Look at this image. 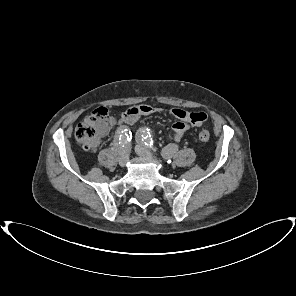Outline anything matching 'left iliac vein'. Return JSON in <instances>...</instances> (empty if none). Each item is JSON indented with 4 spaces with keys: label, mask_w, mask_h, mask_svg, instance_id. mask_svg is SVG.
Masks as SVG:
<instances>
[{
    "label": "left iliac vein",
    "mask_w": 296,
    "mask_h": 296,
    "mask_svg": "<svg viewBox=\"0 0 296 296\" xmlns=\"http://www.w3.org/2000/svg\"><path fill=\"white\" fill-rule=\"evenodd\" d=\"M135 151L139 156L145 157L147 159L155 161L156 158L153 156V154L143 145L142 142L138 143L135 147Z\"/></svg>",
    "instance_id": "1"
}]
</instances>
